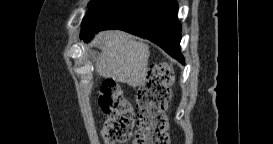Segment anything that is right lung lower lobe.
<instances>
[{
  "label": "right lung lower lobe",
  "mask_w": 273,
  "mask_h": 144,
  "mask_svg": "<svg viewBox=\"0 0 273 144\" xmlns=\"http://www.w3.org/2000/svg\"><path fill=\"white\" fill-rule=\"evenodd\" d=\"M177 13L176 0H116L98 18L91 32L82 38L89 42L98 31L124 30L156 43L184 64Z\"/></svg>",
  "instance_id": "1"
}]
</instances>
